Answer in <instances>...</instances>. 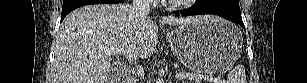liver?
I'll use <instances>...</instances> for the list:
<instances>
[{
  "label": "liver",
  "mask_w": 307,
  "mask_h": 83,
  "mask_svg": "<svg viewBox=\"0 0 307 83\" xmlns=\"http://www.w3.org/2000/svg\"><path fill=\"white\" fill-rule=\"evenodd\" d=\"M199 18H165L164 23L175 26ZM157 43L156 20L139 17L128 4L79 7L59 28L53 83H105L112 69L106 50H118L113 54L117 60L131 62L150 57Z\"/></svg>",
  "instance_id": "1"
}]
</instances>
